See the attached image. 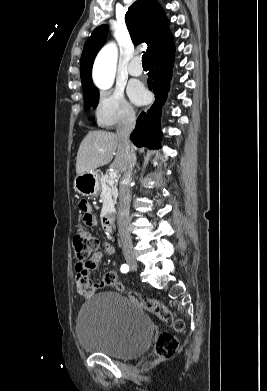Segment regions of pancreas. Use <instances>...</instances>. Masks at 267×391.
Wrapping results in <instances>:
<instances>
[{
    "mask_svg": "<svg viewBox=\"0 0 267 391\" xmlns=\"http://www.w3.org/2000/svg\"><path fill=\"white\" fill-rule=\"evenodd\" d=\"M99 182L103 194L115 201L118 196L117 183L115 179L111 178L110 175H101L99 176Z\"/></svg>",
    "mask_w": 267,
    "mask_h": 391,
    "instance_id": "obj_1",
    "label": "pancreas"
}]
</instances>
